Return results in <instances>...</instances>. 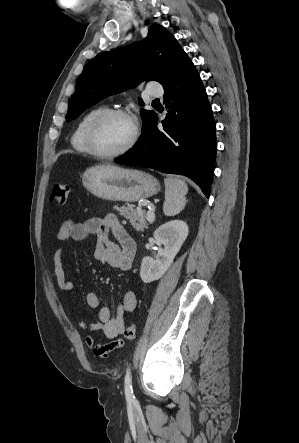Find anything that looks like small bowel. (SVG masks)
<instances>
[{
  "label": "small bowel",
  "instance_id": "small-bowel-1",
  "mask_svg": "<svg viewBox=\"0 0 299 443\" xmlns=\"http://www.w3.org/2000/svg\"><path fill=\"white\" fill-rule=\"evenodd\" d=\"M89 237H95L93 255L97 261L124 271L131 269L135 259L136 245L114 214H107L103 218H92L81 223L68 220L61 225L56 234L59 242L83 241ZM53 264L58 286L65 292H71L73 284L64 272L61 246L53 254ZM86 303L90 308L97 310L98 318L97 322L90 325L80 323L82 329L88 333L85 339L86 345L95 356L108 358L114 350L124 345L123 340L118 337L125 330V315L133 312L137 306V297L133 291H126L114 316L111 315L108 307L101 305L100 298L95 292L86 294ZM96 332H102L110 342L104 345L97 343L92 336Z\"/></svg>",
  "mask_w": 299,
  "mask_h": 443
}]
</instances>
